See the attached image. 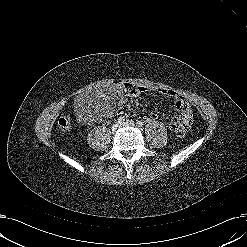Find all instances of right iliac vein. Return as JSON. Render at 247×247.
Segmentation results:
<instances>
[{
  "label": "right iliac vein",
  "instance_id": "63e3f726",
  "mask_svg": "<svg viewBox=\"0 0 247 247\" xmlns=\"http://www.w3.org/2000/svg\"><path fill=\"white\" fill-rule=\"evenodd\" d=\"M120 125L118 123H115L113 126H112V130L113 131H116L117 128L119 127Z\"/></svg>",
  "mask_w": 247,
  "mask_h": 247
}]
</instances>
